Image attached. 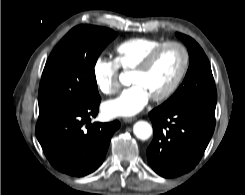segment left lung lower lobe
I'll use <instances>...</instances> for the list:
<instances>
[{"label": "left lung lower lobe", "mask_w": 245, "mask_h": 195, "mask_svg": "<svg viewBox=\"0 0 245 195\" xmlns=\"http://www.w3.org/2000/svg\"><path fill=\"white\" fill-rule=\"evenodd\" d=\"M154 137L148 162L162 177L189 172L200 161L215 128V108L165 105L149 113Z\"/></svg>", "instance_id": "1"}]
</instances>
